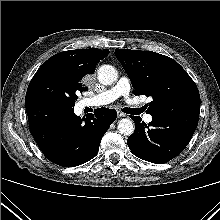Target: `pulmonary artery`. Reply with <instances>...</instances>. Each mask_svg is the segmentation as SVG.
<instances>
[{
  "label": "pulmonary artery",
  "mask_w": 220,
  "mask_h": 220,
  "mask_svg": "<svg viewBox=\"0 0 220 220\" xmlns=\"http://www.w3.org/2000/svg\"><path fill=\"white\" fill-rule=\"evenodd\" d=\"M131 85L127 77H121L118 82L111 88L85 100L87 106H103L112 103L119 97H124L127 101L130 99ZM144 121L149 123L152 121V116L150 114L144 115Z\"/></svg>",
  "instance_id": "e3ab8cb5"
}]
</instances>
